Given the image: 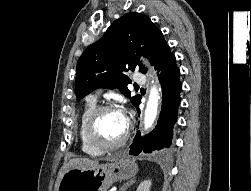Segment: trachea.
I'll return each instance as SVG.
<instances>
[{
	"label": "trachea",
	"instance_id": "obj_1",
	"mask_svg": "<svg viewBox=\"0 0 251 191\" xmlns=\"http://www.w3.org/2000/svg\"><path fill=\"white\" fill-rule=\"evenodd\" d=\"M134 87H135V88H138V87H139V85H134Z\"/></svg>",
	"mask_w": 251,
	"mask_h": 191
}]
</instances>
